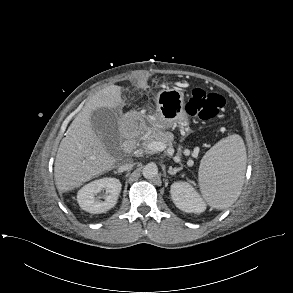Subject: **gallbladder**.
Masks as SVG:
<instances>
[{
  "label": "gallbladder",
  "instance_id": "1",
  "mask_svg": "<svg viewBox=\"0 0 293 293\" xmlns=\"http://www.w3.org/2000/svg\"><path fill=\"white\" fill-rule=\"evenodd\" d=\"M91 123L94 132L108 145L118 140V116L109 108H98L91 114Z\"/></svg>",
  "mask_w": 293,
  "mask_h": 293
}]
</instances>
